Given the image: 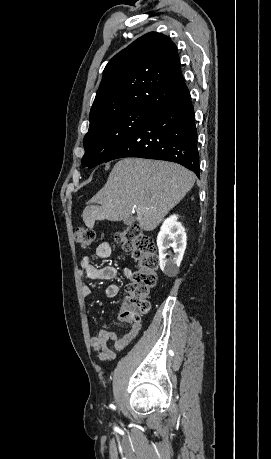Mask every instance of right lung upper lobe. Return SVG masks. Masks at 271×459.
<instances>
[{"label":"right lung upper lobe","instance_id":"cb5924a9","mask_svg":"<svg viewBox=\"0 0 271 459\" xmlns=\"http://www.w3.org/2000/svg\"><path fill=\"white\" fill-rule=\"evenodd\" d=\"M186 88L175 44L150 32L106 65L90 111V121L136 106L157 110Z\"/></svg>","mask_w":271,"mask_h":459}]
</instances>
